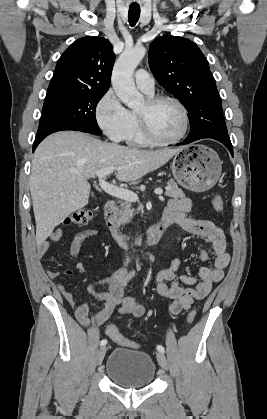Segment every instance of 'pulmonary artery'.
I'll use <instances>...</instances> for the list:
<instances>
[{
  "label": "pulmonary artery",
  "mask_w": 267,
  "mask_h": 419,
  "mask_svg": "<svg viewBox=\"0 0 267 419\" xmlns=\"http://www.w3.org/2000/svg\"><path fill=\"white\" fill-rule=\"evenodd\" d=\"M135 83L142 92L149 95L153 94L154 79L146 70L139 69L135 73Z\"/></svg>",
  "instance_id": "obj_1"
}]
</instances>
